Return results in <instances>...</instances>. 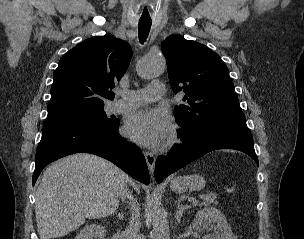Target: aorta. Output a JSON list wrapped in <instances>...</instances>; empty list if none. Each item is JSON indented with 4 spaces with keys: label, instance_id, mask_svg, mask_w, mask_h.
<instances>
[{
    "label": "aorta",
    "instance_id": "762f6f07",
    "mask_svg": "<svg viewBox=\"0 0 304 239\" xmlns=\"http://www.w3.org/2000/svg\"><path fill=\"white\" fill-rule=\"evenodd\" d=\"M166 61L163 56H148L138 65V74L144 79L158 77L165 70ZM153 239H170L169 224L165 213L156 205H151Z\"/></svg>",
    "mask_w": 304,
    "mask_h": 239
}]
</instances>
